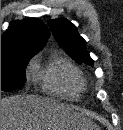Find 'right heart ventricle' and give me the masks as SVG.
Instances as JSON below:
<instances>
[{
  "label": "right heart ventricle",
  "mask_w": 123,
  "mask_h": 130,
  "mask_svg": "<svg viewBox=\"0 0 123 130\" xmlns=\"http://www.w3.org/2000/svg\"><path fill=\"white\" fill-rule=\"evenodd\" d=\"M34 78L51 95L67 100H77L85 89L81 70L68 58L53 54L47 59L36 58L32 64Z\"/></svg>",
  "instance_id": "obj_1"
}]
</instances>
